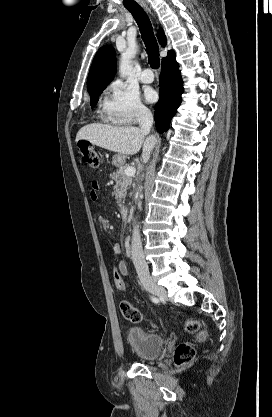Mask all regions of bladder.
Wrapping results in <instances>:
<instances>
[{
  "instance_id": "1",
  "label": "bladder",
  "mask_w": 272,
  "mask_h": 417,
  "mask_svg": "<svg viewBox=\"0 0 272 417\" xmlns=\"http://www.w3.org/2000/svg\"><path fill=\"white\" fill-rule=\"evenodd\" d=\"M127 341L137 357L146 361L157 359L162 352L164 344V340L160 335L146 332L137 327L128 329Z\"/></svg>"
}]
</instances>
